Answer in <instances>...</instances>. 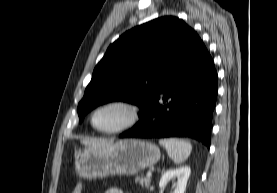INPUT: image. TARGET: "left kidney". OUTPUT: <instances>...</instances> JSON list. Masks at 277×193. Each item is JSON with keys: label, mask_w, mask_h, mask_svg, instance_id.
<instances>
[{"label": "left kidney", "mask_w": 277, "mask_h": 193, "mask_svg": "<svg viewBox=\"0 0 277 193\" xmlns=\"http://www.w3.org/2000/svg\"><path fill=\"white\" fill-rule=\"evenodd\" d=\"M191 169L189 166H182L176 169L167 170L161 177L159 186L164 188L167 183L173 179H177L175 189L172 193H184L187 181L189 179Z\"/></svg>", "instance_id": "left-kidney-1"}]
</instances>
